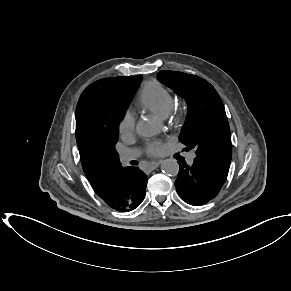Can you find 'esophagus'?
<instances>
[{
  "instance_id": "esophagus-1",
  "label": "esophagus",
  "mask_w": 291,
  "mask_h": 291,
  "mask_svg": "<svg viewBox=\"0 0 291 291\" xmlns=\"http://www.w3.org/2000/svg\"><path fill=\"white\" fill-rule=\"evenodd\" d=\"M161 161H153L148 164V168L153 170L160 165Z\"/></svg>"
}]
</instances>
